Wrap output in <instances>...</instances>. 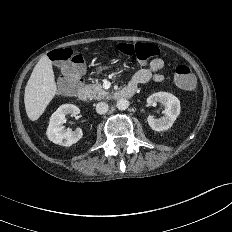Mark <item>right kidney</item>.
Returning <instances> with one entry per match:
<instances>
[{
    "label": "right kidney",
    "instance_id": "right-kidney-1",
    "mask_svg": "<svg viewBox=\"0 0 232 232\" xmlns=\"http://www.w3.org/2000/svg\"><path fill=\"white\" fill-rule=\"evenodd\" d=\"M79 113L80 109L73 104L61 105L50 118L46 133L48 139L55 144L65 147L71 146L80 140L83 136V132L80 128L72 131L65 129L63 126L66 115L71 114L76 116Z\"/></svg>",
    "mask_w": 232,
    "mask_h": 232
}]
</instances>
